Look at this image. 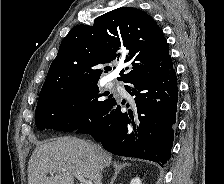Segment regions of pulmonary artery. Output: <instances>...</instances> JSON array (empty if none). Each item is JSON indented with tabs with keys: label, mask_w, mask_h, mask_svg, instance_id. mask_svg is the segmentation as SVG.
Returning <instances> with one entry per match:
<instances>
[{
	"label": "pulmonary artery",
	"mask_w": 224,
	"mask_h": 184,
	"mask_svg": "<svg viewBox=\"0 0 224 184\" xmlns=\"http://www.w3.org/2000/svg\"><path fill=\"white\" fill-rule=\"evenodd\" d=\"M111 87H113L114 89H117V90L121 89V86L118 83H115V82L111 83Z\"/></svg>",
	"instance_id": "obj_1"
}]
</instances>
